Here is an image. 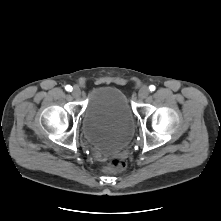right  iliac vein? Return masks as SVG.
Here are the masks:
<instances>
[{
	"instance_id": "obj_1",
	"label": "right iliac vein",
	"mask_w": 221,
	"mask_h": 221,
	"mask_svg": "<svg viewBox=\"0 0 221 221\" xmlns=\"http://www.w3.org/2000/svg\"><path fill=\"white\" fill-rule=\"evenodd\" d=\"M72 95L74 97H79L81 95V90L79 87L75 86L72 90Z\"/></svg>"
}]
</instances>
